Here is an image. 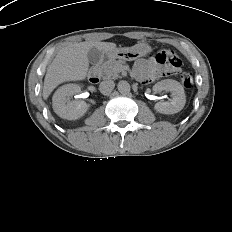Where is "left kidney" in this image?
Listing matches in <instances>:
<instances>
[{
    "label": "left kidney",
    "mask_w": 232,
    "mask_h": 232,
    "mask_svg": "<svg viewBox=\"0 0 232 232\" xmlns=\"http://www.w3.org/2000/svg\"><path fill=\"white\" fill-rule=\"evenodd\" d=\"M154 93H159L161 91H170L171 100L170 102L160 101L155 104V110L162 114H175L181 111L186 103V96L182 85L172 79H165L157 82L153 86Z\"/></svg>",
    "instance_id": "left-kidney-1"
}]
</instances>
